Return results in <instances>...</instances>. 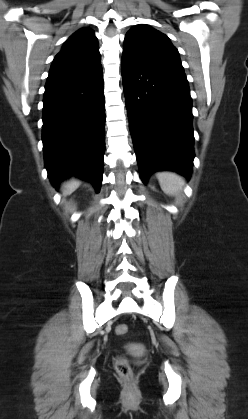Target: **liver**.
<instances>
[{"label": "liver", "mask_w": 248, "mask_h": 419, "mask_svg": "<svg viewBox=\"0 0 248 419\" xmlns=\"http://www.w3.org/2000/svg\"><path fill=\"white\" fill-rule=\"evenodd\" d=\"M80 182L78 180L72 179L71 181L67 182L64 186V191H72L79 186Z\"/></svg>", "instance_id": "1"}]
</instances>
